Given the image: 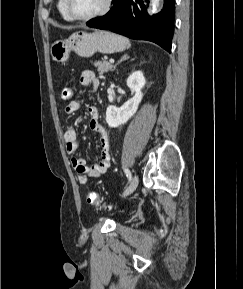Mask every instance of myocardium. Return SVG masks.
Here are the masks:
<instances>
[{
	"instance_id": "myocardium-1",
	"label": "myocardium",
	"mask_w": 243,
	"mask_h": 289,
	"mask_svg": "<svg viewBox=\"0 0 243 289\" xmlns=\"http://www.w3.org/2000/svg\"><path fill=\"white\" fill-rule=\"evenodd\" d=\"M65 1H66V11L68 15L70 16L72 20H76V21H90V20L102 17L110 11L112 7V3H113V0H105L104 6L98 12L89 16H77L72 12L71 0H65Z\"/></svg>"
}]
</instances>
